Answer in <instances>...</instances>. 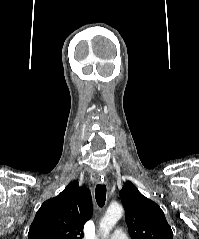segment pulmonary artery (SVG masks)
I'll return each instance as SVG.
<instances>
[{"label": "pulmonary artery", "instance_id": "obj_1", "mask_svg": "<svg viewBox=\"0 0 199 239\" xmlns=\"http://www.w3.org/2000/svg\"><path fill=\"white\" fill-rule=\"evenodd\" d=\"M110 239H128V237L123 230L118 229L110 236Z\"/></svg>", "mask_w": 199, "mask_h": 239}]
</instances>
